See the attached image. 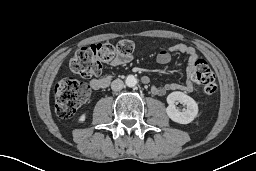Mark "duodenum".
Returning <instances> with one entry per match:
<instances>
[{
  "label": "duodenum",
  "instance_id": "duodenum-1",
  "mask_svg": "<svg viewBox=\"0 0 256 171\" xmlns=\"http://www.w3.org/2000/svg\"><path fill=\"white\" fill-rule=\"evenodd\" d=\"M143 83H145V84L148 83V79L144 77L143 78Z\"/></svg>",
  "mask_w": 256,
  "mask_h": 171
}]
</instances>
